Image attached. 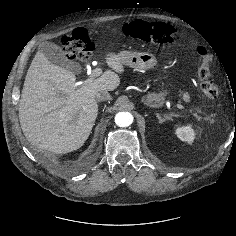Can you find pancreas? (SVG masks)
Segmentation results:
<instances>
[{"label":"pancreas","mask_w":236,"mask_h":236,"mask_svg":"<svg viewBox=\"0 0 236 236\" xmlns=\"http://www.w3.org/2000/svg\"><path fill=\"white\" fill-rule=\"evenodd\" d=\"M189 95L187 94V93H185L184 95H183V99L185 100V101H188L189 100Z\"/></svg>","instance_id":"pancreas-1"}]
</instances>
